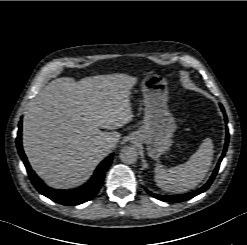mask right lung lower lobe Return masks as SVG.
Instances as JSON below:
<instances>
[{
	"label": "right lung lower lobe",
	"instance_id": "98d812e1",
	"mask_svg": "<svg viewBox=\"0 0 247 245\" xmlns=\"http://www.w3.org/2000/svg\"><path fill=\"white\" fill-rule=\"evenodd\" d=\"M21 130H22V124L20 121L17 140H16L18 152L25 164L29 178L32 184L34 185V187L38 190V192L48 197L52 201L62 205H78L87 202L91 200L99 192L101 185L103 184L105 172L112 162L113 154L108 156L104 161L100 163V165L95 170V173L90 179V181L83 187L71 191L54 190L46 186L42 182V180L31 169L22 149Z\"/></svg>",
	"mask_w": 247,
	"mask_h": 245
}]
</instances>
